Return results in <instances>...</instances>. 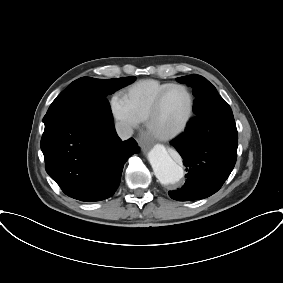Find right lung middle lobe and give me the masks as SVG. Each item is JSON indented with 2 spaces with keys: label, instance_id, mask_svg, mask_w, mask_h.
<instances>
[{
  "label": "right lung middle lobe",
  "instance_id": "dd1d6c3e",
  "mask_svg": "<svg viewBox=\"0 0 283 283\" xmlns=\"http://www.w3.org/2000/svg\"><path fill=\"white\" fill-rule=\"evenodd\" d=\"M134 79V76L115 79L79 78L56 97L43 122L46 124L61 117L87 118L95 114L113 120L106 96L132 83Z\"/></svg>",
  "mask_w": 283,
  "mask_h": 283
}]
</instances>
